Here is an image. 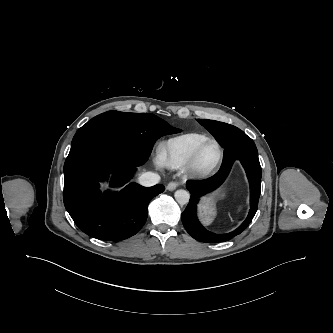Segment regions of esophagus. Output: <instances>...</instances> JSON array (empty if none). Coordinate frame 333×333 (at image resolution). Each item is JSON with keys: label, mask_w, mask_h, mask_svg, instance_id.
<instances>
[{"label": "esophagus", "mask_w": 333, "mask_h": 333, "mask_svg": "<svg viewBox=\"0 0 333 333\" xmlns=\"http://www.w3.org/2000/svg\"><path fill=\"white\" fill-rule=\"evenodd\" d=\"M177 187H178V183L174 182V181H171L167 185V190L174 191Z\"/></svg>", "instance_id": "1"}]
</instances>
